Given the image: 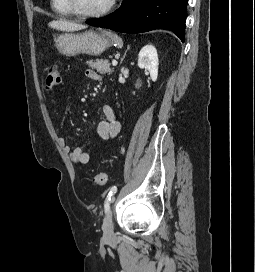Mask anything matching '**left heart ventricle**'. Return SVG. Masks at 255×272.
<instances>
[{
	"label": "left heart ventricle",
	"instance_id": "left-heart-ventricle-1",
	"mask_svg": "<svg viewBox=\"0 0 255 272\" xmlns=\"http://www.w3.org/2000/svg\"><path fill=\"white\" fill-rule=\"evenodd\" d=\"M109 0H74L76 7L82 12H97L102 10Z\"/></svg>",
	"mask_w": 255,
	"mask_h": 272
}]
</instances>
